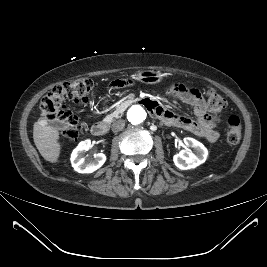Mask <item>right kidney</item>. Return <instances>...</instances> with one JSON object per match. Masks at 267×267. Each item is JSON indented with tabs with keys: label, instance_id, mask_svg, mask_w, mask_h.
I'll return each instance as SVG.
<instances>
[{
	"label": "right kidney",
	"instance_id": "right-kidney-1",
	"mask_svg": "<svg viewBox=\"0 0 267 267\" xmlns=\"http://www.w3.org/2000/svg\"><path fill=\"white\" fill-rule=\"evenodd\" d=\"M92 147L91 140L87 139L78 144L71 154L72 167L79 173H92L99 169L106 161V156L103 153L94 155V159L86 162L83 156L85 151Z\"/></svg>",
	"mask_w": 267,
	"mask_h": 267
}]
</instances>
